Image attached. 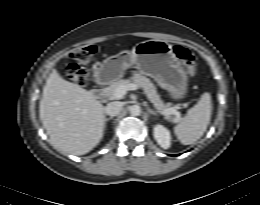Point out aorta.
Instances as JSON below:
<instances>
[{"mask_svg":"<svg viewBox=\"0 0 260 205\" xmlns=\"http://www.w3.org/2000/svg\"><path fill=\"white\" fill-rule=\"evenodd\" d=\"M130 113L133 116H139L141 114V108L139 105H133L129 108Z\"/></svg>","mask_w":260,"mask_h":205,"instance_id":"obj_1","label":"aorta"}]
</instances>
